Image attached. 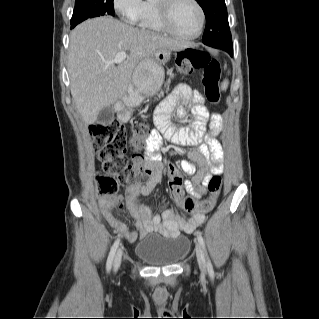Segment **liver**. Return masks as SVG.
Segmentation results:
<instances>
[{"label": "liver", "instance_id": "6515ba94", "mask_svg": "<svg viewBox=\"0 0 319 319\" xmlns=\"http://www.w3.org/2000/svg\"><path fill=\"white\" fill-rule=\"evenodd\" d=\"M188 44L134 28L111 17L88 19L70 33L68 73L72 99L85 124L122 98L133 82L137 65L158 49L179 51ZM129 51L118 66L111 61Z\"/></svg>", "mask_w": 319, "mask_h": 319}]
</instances>
